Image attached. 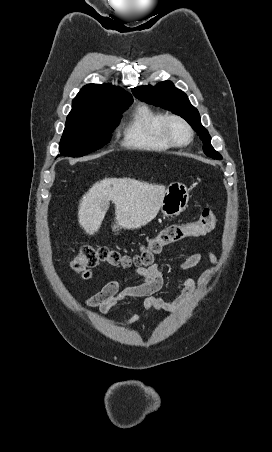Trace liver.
<instances>
[{
    "label": "liver",
    "instance_id": "liver-1",
    "mask_svg": "<svg viewBox=\"0 0 272 452\" xmlns=\"http://www.w3.org/2000/svg\"><path fill=\"white\" fill-rule=\"evenodd\" d=\"M166 188L131 178H105L93 184L78 207V222L89 235L100 229L110 201L115 205L113 230L138 229L158 214Z\"/></svg>",
    "mask_w": 272,
    "mask_h": 452
}]
</instances>
